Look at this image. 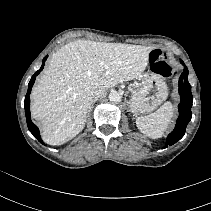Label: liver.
Here are the masks:
<instances>
[{"instance_id": "obj_1", "label": "liver", "mask_w": 211, "mask_h": 211, "mask_svg": "<svg viewBox=\"0 0 211 211\" xmlns=\"http://www.w3.org/2000/svg\"><path fill=\"white\" fill-rule=\"evenodd\" d=\"M153 47L76 40L55 52L31 92V115L42 139L61 145L79 134L97 89L139 78Z\"/></svg>"}]
</instances>
